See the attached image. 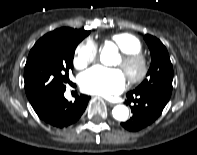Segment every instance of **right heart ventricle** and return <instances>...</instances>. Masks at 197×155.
Segmentation results:
<instances>
[{
  "instance_id": "right-heart-ventricle-1",
  "label": "right heart ventricle",
  "mask_w": 197,
  "mask_h": 155,
  "mask_svg": "<svg viewBox=\"0 0 197 155\" xmlns=\"http://www.w3.org/2000/svg\"><path fill=\"white\" fill-rule=\"evenodd\" d=\"M110 41L114 43L122 52H140L142 43L133 34L117 33L111 36Z\"/></svg>"
}]
</instances>
